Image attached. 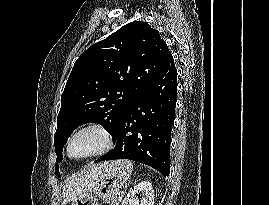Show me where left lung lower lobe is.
Listing matches in <instances>:
<instances>
[{"mask_svg":"<svg viewBox=\"0 0 269 205\" xmlns=\"http://www.w3.org/2000/svg\"><path fill=\"white\" fill-rule=\"evenodd\" d=\"M176 95L177 69L170 55L159 74L124 112L111 134L116 140L115 148L95 162L129 159L167 177Z\"/></svg>","mask_w":269,"mask_h":205,"instance_id":"0a47b994","label":"left lung lower lobe"}]
</instances>
